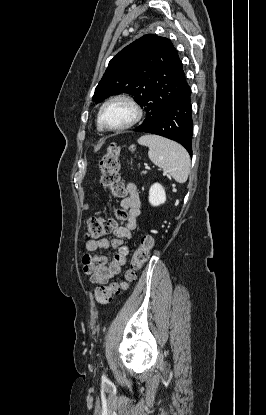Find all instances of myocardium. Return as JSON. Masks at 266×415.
<instances>
[{
  "instance_id": "myocardium-1",
  "label": "myocardium",
  "mask_w": 266,
  "mask_h": 415,
  "mask_svg": "<svg viewBox=\"0 0 266 415\" xmlns=\"http://www.w3.org/2000/svg\"><path fill=\"white\" fill-rule=\"evenodd\" d=\"M115 102H124L126 103L128 106L131 107L132 111H133V117L131 118V120L129 122H127L126 124H123L121 126H116V127H111L108 126L107 124H105V122L103 121V112L105 110V108ZM142 109L139 106V104L129 95L126 94H117L114 95L112 97H110L109 99H107L100 107L99 109V113H98V123L100 125L101 128L108 130V131H123L126 129H129L131 127H133L134 125H136L140 119L142 118Z\"/></svg>"
}]
</instances>
